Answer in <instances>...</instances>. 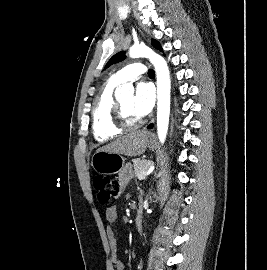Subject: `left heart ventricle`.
I'll list each match as a JSON object with an SVG mask.
<instances>
[{
  "instance_id": "1",
  "label": "left heart ventricle",
  "mask_w": 267,
  "mask_h": 270,
  "mask_svg": "<svg viewBox=\"0 0 267 270\" xmlns=\"http://www.w3.org/2000/svg\"><path fill=\"white\" fill-rule=\"evenodd\" d=\"M120 104L127 116V118L131 121H136L138 119H140L139 116H137L134 111H133V108H132V104H133V97L130 96V97H127L125 99H122L120 101Z\"/></svg>"
}]
</instances>
